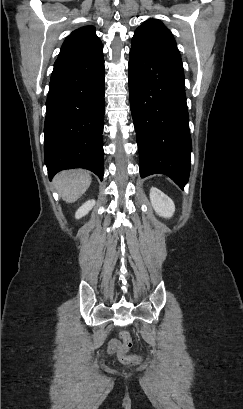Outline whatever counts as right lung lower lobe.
<instances>
[{"mask_svg":"<svg viewBox=\"0 0 243 409\" xmlns=\"http://www.w3.org/2000/svg\"><path fill=\"white\" fill-rule=\"evenodd\" d=\"M104 85L103 46L54 66L44 125L50 180L72 168L88 169L102 180Z\"/></svg>","mask_w":243,"mask_h":409,"instance_id":"1","label":"right lung lower lobe"}]
</instances>
